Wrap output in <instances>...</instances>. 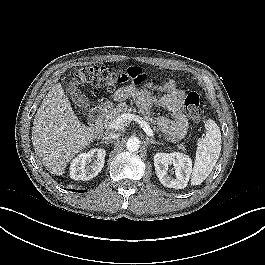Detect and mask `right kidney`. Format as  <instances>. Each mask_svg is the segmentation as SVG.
Instances as JSON below:
<instances>
[{
    "mask_svg": "<svg viewBox=\"0 0 265 265\" xmlns=\"http://www.w3.org/2000/svg\"><path fill=\"white\" fill-rule=\"evenodd\" d=\"M104 149H92L81 153L71 163L70 177L74 180L87 181L99 174L105 162Z\"/></svg>",
    "mask_w": 265,
    "mask_h": 265,
    "instance_id": "1",
    "label": "right kidney"
}]
</instances>
